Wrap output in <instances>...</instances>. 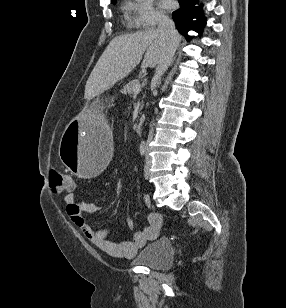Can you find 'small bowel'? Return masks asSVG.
I'll return each mask as SVG.
<instances>
[{
    "instance_id": "1",
    "label": "small bowel",
    "mask_w": 286,
    "mask_h": 308,
    "mask_svg": "<svg viewBox=\"0 0 286 308\" xmlns=\"http://www.w3.org/2000/svg\"><path fill=\"white\" fill-rule=\"evenodd\" d=\"M143 200L149 205L148 197L145 196ZM63 201L68 217L79 231L96 247L118 258L133 257L148 241L158 237L162 224L161 216L151 212L146 217L147 225L142 231L134 232L129 240L115 241L109 238V228L93 229L84 217V214L97 212L100 205L78 201L72 193L66 194ZM127 224L132 227L131 220L128 219Z\"/></svg>"
}]
</instances>
